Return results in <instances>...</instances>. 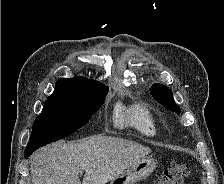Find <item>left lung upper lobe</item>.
Segmentation results:
<instances>
[{
	"instance_id": "left-lung-upper-lobe-1",
	"label": "left lung upper lobe",
	"mask_w": 224,
	"mask_h": 184,
	"mask_svg": "<svg viewBox=\"0 0 224 184\" xmlns=\"http://www.w3.org/2000/svg\"><path fill=\"white\" fill-rule=\"evenodd\" d=\"M150 92L152 96L161 103L166 109L174 111L176 114H180V108L176 105L173 99L172 91L165 85L154 84Z\"/></svg>"
}]
</instances>
